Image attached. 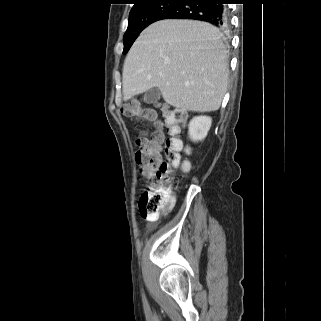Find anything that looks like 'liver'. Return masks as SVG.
I'll use <instances>...</instances> for the list:
<instances>
[{
    "mask_svg": "<svg viewBox=\"0 0 321 321\" xmlns=\"http://www.w3.org/2000/svg\"><path fill=\"white\" fill-rule=\"evenodd\" d=\"M228 76L227 51L217 28L200 21L161 20L148 26L127 54L124 100L157 87L175 108L216 111Z\"/></svg>",
    "mask_w": 321,
    "mask_h": 321,
    "instance_id": "6515ba94",
    "label": "liver"
}]
</instances>
